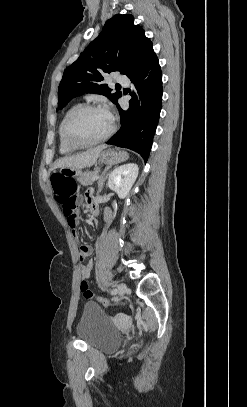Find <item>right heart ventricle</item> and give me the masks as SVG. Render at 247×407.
Returning <instances> with one entry per match:
<instances>
[{"mask_svg": "<svg viewBox=\"0 0 247 407\" xmlns=\"http://www.w3.org/2000/svg\"><path fill=\"white\" fill-rule=\"evenodd\" d=\"M77 106L78 105H73L69 109H67L58 125L57 133H58V141H59V151L62 154H70L76 150L75 148H72L69 145H67V143L65 142L64 137H63V127H64V122H65L67 116Z\"/></svg>", "mask_w": 247, "mask_h": 407, "instance_id": "e07e8e85", "label": "right heart ventricle"}]
</instances>
